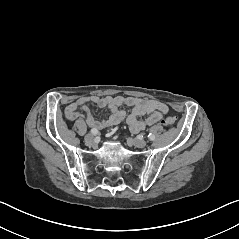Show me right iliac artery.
Segmentation results:
<instances>
[{"label":"right iliac artery","mask_w":239,"mask_h":239,"mask_svg":"<svg viewBox=\"0 0 239 239\" xmlns=\"http://www.w3.org/2000/svg\"><path fill=\"white\" fill-rule=\"evenodd\" d=\"M91 134L92 135H97L98 134V130L97 129H91Z\"/></svg>","instance_id":"1"}]
</instances>
